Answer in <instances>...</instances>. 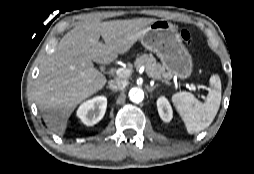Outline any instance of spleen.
Listing matches in <instances>:
<instances>
[{"label": "spleen", "mask_w": 254, "mask_h": 174, "mask_svg": "<svg viewBox=\"0 0 254 174\" xmlns=\"http://www.w3.org/2000/svg\"><path fill=\"white\" fill-rule=\"evenodd\" d=\"M211 89L205 103L198 101L189 92H178L172 96V102L185 123L188 133H198L213 122L221 102V81L218 75L210 79Z\"/></svg>", "instance_id": "3e777b00"}]
</instances>
